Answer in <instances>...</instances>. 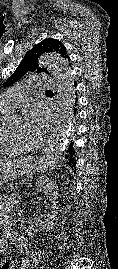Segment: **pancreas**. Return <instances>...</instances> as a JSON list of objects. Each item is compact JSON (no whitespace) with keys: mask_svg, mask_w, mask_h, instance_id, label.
<instances>
[{"mask_svg":"<svg viewBox=\"0 0 118 269\" xmlns=\"http://www.w3.org/2000/svg\"><path fill=\"white\" fill-rule=\"evenodd\" d=\"M27 179H19L18 182H9L8 186L5 188L6 192H18L23 189V186L20 184H27Z\"/></svg>","mask_w":118,"mask_h":269,"instance_id":"obj_1","label":"pancreas"}]
</instances>
